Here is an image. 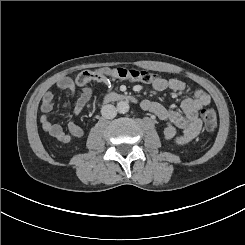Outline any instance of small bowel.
<instances>
[{
	"mask_svg": "<svg viewBox=\"0 0 245 245\" xmlns=\"http://www.w3.org/2000/svg\"><path fill=\"white\" fill-rule=\"evenodd\" d=\"M110 69H100L98 72L101 77L95 79L97 81L105 82L109 86L111 85L108 78ZM57 87L60 89L69 90L71 93L75 90V83L71 78L64 77L57 81ZM152 87L156 91L172 90L177 93H183L188 90L186 84L176 78H157ZM92 96V89L88 86L82 89V92L76 100L72 113L74 115L79 114L86 104L89 102ZM54 93L52 90H47L43 94L40 104V123L45 132L51 137L55 138L59 142L68 143L72 138H79L83 135V130L75 124L73 120L68 122V132L57 123L51 121L49 113L53 108ZM211 99L209 94L204 90H196L192 97H187L181 102V109L183 114L176 110L166 108L163 105L145 100L143 102V108L153 113L158 119L165 122V128L163 131L164 137L167 140L173 141L177 145H185L192 141L202 128V122L198 116V112L204 106L210 103ZM64 107H67L65 105ZM178 130L181 132L178 133Z\"/></svg>",
	"mask_w": 245,
	"mask_h": 245,
	"instance_id": "c3829d8e",
	"label": "small bowel"
}]
</instances>
